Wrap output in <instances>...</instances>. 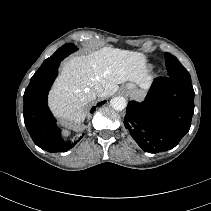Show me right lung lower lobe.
<instances>
[{"mask_svg":"<svg viewBox=\"0 0 211 211\" xmlns=\"http://www.w3.org/2000/svg\"><path fill=\"white\" fill-rule=\"evenodd\" d=\"M60 62L39 68L32 76L24 93V122L34 143L48 152H65L76 145V141H65L60 135L48 105L47 95L53 84ZM105 101L98 103L101 106ZM95 110L92 107L91 113Z\"/></svg>","mask_w":211,"mask_h":211,"instance_id":"98d812e1","label":"right lung lower lobe"}]
</instances>
